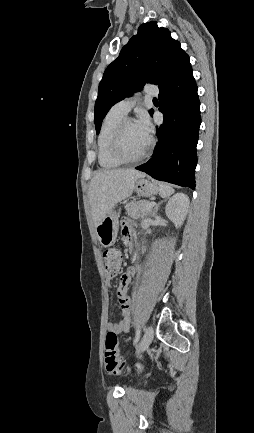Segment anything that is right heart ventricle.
Wrapping results in <instances>:
<instances>
[{
    "label": "right heart ventricle",
    "mask_w": 254,
    "mask_h": 433,
    "mask_svg": "<svg viewBox=\"0 0 254 433\" xmlns=\"http://www.w3.org/2000/svg\"><path fill=\"white\" fill-rule=\"evenodd\" d=\"M124 117V114L110 110L102 123L97 149L99 165L104 169H116L123 164L113 155L111 143L117 125Z\"/></svg>",
    "instance_id": "1"
}]
</instances>
